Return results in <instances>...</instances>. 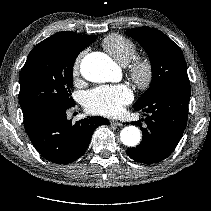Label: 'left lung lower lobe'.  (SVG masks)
<instances>
[{
	"mask_svg": "<svg viewBox=\"0 0 211 211\" xmlns=\"http://www.w3.org/2000/svg\"><path fill=\"white\" fill-rule=\"evenodd\" d=\"M190 95V85L173 86L146 103L134 106V109L149 114H144L145 119L135 122L141 127L143 139L137 147L127 149L132 159L152 164L164 160L173 152L187 124ZM142 122L146 123V128H142Z\"/></svg>",
	"mask_w": 211,
	"mask_h": 211,
	"instance_id": "left-lung-lower-lobe-1",
	"label": "left lung lower lobe"
}]
</instances>
